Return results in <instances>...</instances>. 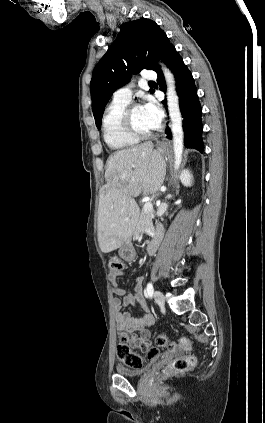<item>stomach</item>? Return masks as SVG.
<instances>
[{
	"label": "stomach",
	"mask_w": 265,
	"mask_h": 423,
	"mask_svg": "<svg viewBox=\"0 0 265 423\" xmlns=\"http://www.w3.org/2000/svg\"><path fill=\"white\" fill-rule=\"evenodd\" d=\"M165 151V149H160V153H165ZM118 253L119 256L126 261H132L136 257V252L130 239L123 243V245L119 248Z\"/></svg>",
	"instance_id": "0dacf381"
}]
</instances>
